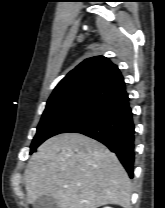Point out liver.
Segmentation results:
<instances>
[{"mask_svg":"<svg viewBox=\"0 0 165 208\" xmlns=\"http://www.w3.org/2000/svg\"><path fill=\"white\" fill-rule=\"evenodd\" d=\"M28 203L54 198L59 208L130 207L131 181L117 156L79 133H63L39 146L25 170Z\"/></svg>","mask_w":165,"mask_h":208,"instance_id":"6515ba94","label":"liver"}]
</instances>
